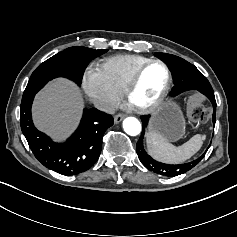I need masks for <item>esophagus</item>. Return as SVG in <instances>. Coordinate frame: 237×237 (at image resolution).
Returning a JSON list of instances; mask_svg holds the SVG:
<instances>
[{
  "mask_svg": "<svg viewBox=\"0 0 237 237\" xmlns=\"http://www.w3.org/2000/svg\"><path fill=\"white\" fill-rule=\"evenodd\" d=\"M125 118L124 114H118L114 117V122L115 124L120 123L123 119Z\"/></svg>",
  "mask_w": 237,
  "mask_h": 237,
  "instance_id": "obj_1",
  "label": "esophagus"
}]
</instances>
